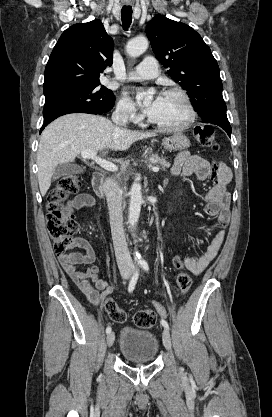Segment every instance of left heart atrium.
<instances>
[{"mask_svg":"<svg viewBox=\"0 0 272 417\" xmlns=\"http://www.w3.org/2000/svg\"><path fill=\"white\" fill-rule=\"evenodd\" d=\"M161 102H162V97L161 96L156 97L150 104H148L146 106H143L144 112L150 118L153 117L157 113V111H158V109L161 105Z\"/></svg>","mask_w":272,"mask_h":417,"instance_id":"obj_1","label":"left heart atrium"}]
</instances>
